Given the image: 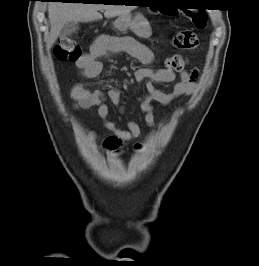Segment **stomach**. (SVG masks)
Returning a JSON list of instances; mask_svg holds the SVG:
<instances>
[{"label": "stomach", "mask_w": 259, "mask_h": 266, "mask_svg": "<svg viewBox=\"0 0 259 266\" xmlns=\"http://www.w3.org/2000/svg\"><path fill=\"white\" fill-rule=\"evenodd\" d=\"M115 27L119 31H126L128 29L132 30L139 37H148L151 34V29L147 20L142 16H136L131 18V15H121L119 16L115 23Z\"/></svg>", "instance_id": "obj_1"}]
</instances>
